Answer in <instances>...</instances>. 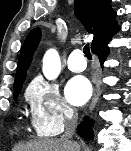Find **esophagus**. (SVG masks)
<instances>
[{
    "label": "esophagus",
    "instance_id": "esophagus-1",
    "mask_svg": "<svg viewBox=\"0 0 131 151\" xmlns=\"http://www.w3.org/2000/svg\"><path fill=\"white\" fill-rule=\"evenodd\" d=\"M99 90H100L99 86L96 85L95 89H94V94H93L92 100H91L90 105H89V112L90 113L94 110V108L97 104V101H98V98H99Z\"/></svg>",
    "mask_w": 131,
    "mask_h": 151
}]
</instances>
